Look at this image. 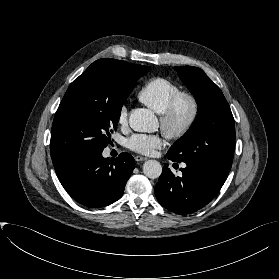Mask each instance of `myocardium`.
<instances>
[{
    "mask_svg": "<svg viewBox=\"0 0 279 279\" xmlns=\"http://www.w3.org/2000/svg\"><path fill=\"white\" fill-rule=\"evenodd\" d=\"M181 101L189 104L190 111L182 122L176 121L177 108ZM200 115V103L197 97L186 91H179L169 100L166 109L160 115L161 129L169 139H181L185 137L195 126Z\"/></svg>",
    "mask_w": 279,
    "mask_h": 279,
    "instance_id": "1",
    "label": "myocardium"
}]
</instances>
